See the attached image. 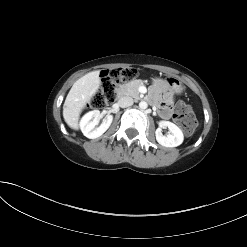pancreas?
I'll return each instance as SVG.
<instances>
[{"label":"pancreas","instance_id":"1","mask_svg":"<svg viewBox=\"0 0 247 247\" xmlns=\"http://www.w3.org/2000/svg\"><path fill=\"white\" fill-rule=\"evenodd\" d=\"M143 85V82L141 80H133L131 82L125 83L122 86V91H118L122 95H128L132 96L136 99L140 97V93L138 91V88Z\"/></svg>","mask_w":247,"mask_h":247}]
</instances>
